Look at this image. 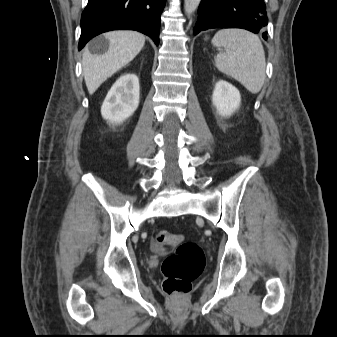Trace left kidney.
<instances>
[{
	"instance_id": "left-kidney-1",
	"label": "left kidney",
	"mask_w": 337,
	"mask_h": 337,
	"mask_svg": "<svg viewBox=\"0 0 337 337\" xmlns=\"http://www.w3.org/2000/svg\"><path fill=\"white\" fill-rule=\"evenodd\" d=\"M212 103L216 107L219 115L230 117L239 109L241 95L236 87L226 81L220 80L215 85Z\"/></svg>"
}]
</instances>
